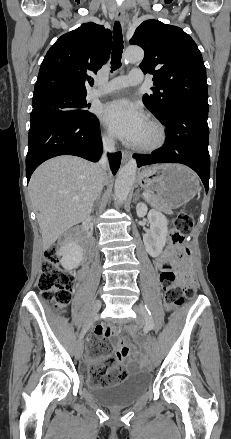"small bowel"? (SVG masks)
<instances>
[{"label": "small bowel", "mask_w": 231, "mask_h": 439, "mask_svg": "<svg viewBox=\"0 0 231 439\" xmlns=\"http://www.w3.org/2000/svg\"><path fill=\"white\" fill-rule=\"evenodd\" d=\"M175 253L176 250L173 247H169L164 256L162 258L157 259L156 265L160 267L165 262H174L175 261ZM96 334L101 337H107L111 340H116L118 338V331L115 328H106L104 326H98L96 328ZM107 358L102 357L97 360H93L90 358L86 359V366L88 368H96L102 366V363ZM112 366L113 365H124L130 371H136L138 369V364L135 360L134 353L128 345L125 344H116L114 356L111 357Z\"/></svg>", "instance_id": "obj_1"}]
</instances>
